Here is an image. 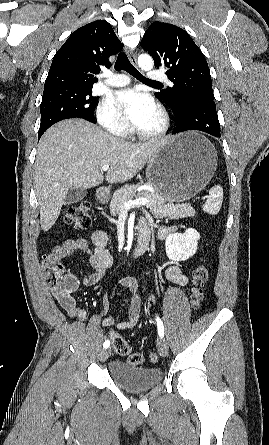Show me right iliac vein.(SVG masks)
<instances>
[{
    "label": "right iliac vein",
    "instance_id": "63e3f726",
    "mask_svg": "<svg viewBox=\"0 0 269 445\" xmlns=\"http://www.w3.org/2000/svg\"><path fill=\"white\" fill-rule=\"evenodd\" d=\"M110 355V349H104L101 353H100V360L101 361H106L108 359Z\"/></svg>",
    "mask_w": 269,
    "mask_h": 445
}]
</instances>
